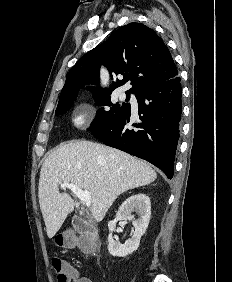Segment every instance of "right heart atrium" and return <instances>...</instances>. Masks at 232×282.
Returning <instances> with one entry per match:
<instances>
[{
    "label": "right heart atrium",
    "mask_w": 232,
    "mask_h": 282,
    "mask_svg": "<svg viewBox=\"0 0 232 282\" xmlns=\"http://www.w3.org/2000/svg\"><path fill=\"white\" fill-rule=\"evenodd\" d=\"M92 110L88 105H81L72 117V125L78 129L84 128L90 121Z\"/></svg>",
    "instance_id": "right-heart-atrium-1"
}]
</instances>
